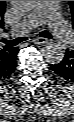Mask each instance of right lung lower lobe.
I'll use <instances>...</instances> for the list:
<instances>
[{
	"mask_svg": "<svg viewBox=\"0 0 74 122\" xmlns=\"http://www.w3.org/2000/svg\"><path fill=\"white\" fill-rule=\"evenodd\" d=\"M16 60H17V55L14 59V62L11 64V66L7 70H3V72H0V81L7 78L8 76H10L13 73V71L15 70V66H16Z\"/></svg>",
	"mask_w": 74,
	"mask_h": 122,
	"instance_id": "right-lung-lower-lobe-1",
	"label": "right lung lower lobe"
}]
</instances>
